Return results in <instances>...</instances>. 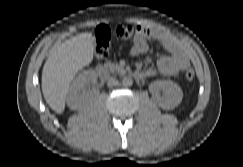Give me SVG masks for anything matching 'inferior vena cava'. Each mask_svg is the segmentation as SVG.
<instances>
[{"instance_id":"obj_1","label":"inferior vena cava","mask_w":243,"mask_h":167,"mask_svg":"<svg viewBox=\"0 0 243 167\" xmlns=\"http://www.w3.org/2000/svg\"><path fill=\"white\" fill-rule=\"evenodd\" d=\"M118 84H119L118 80L114 77L109 78L107 81L108 87H114L117 86Z\"/></svg>"}]
</instances>
